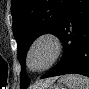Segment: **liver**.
<instances>
[{
	"label": "liver",
	"mask_w": 89,
	"mask_h": 89,
	"mask_svg": "<svg viewBox=\"0 0 89 89\" xmlns=\"http://www.w3.org/2000/svg\"><path fill=\"white\" fill-rule=\"evenodd\" d=\"M56 78L48 79L44 81L40 86H35L33 89H48V87L54 83Z\"/></svg>",
	"instance_id": "liver-1"
}]
</instances>
